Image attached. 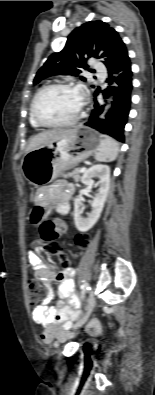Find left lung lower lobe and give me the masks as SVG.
Returning a JSON list of instances; mask_svg holds the SVG:
<instances>
[{
  "instance_id": "0a47b994",
  "label": "left lung lower lobe",
  "mask_w": 155,
  "mask_h": 395,
  "mask_svg": "<svg viewBox=\"0 0 155 395\" xmlns=\"http://www.w3.org/2000/svg\"><path fill=\"white\" fill-rule=\"evenodd\" d=\"M112 71L118 75L111 77ZM109 76L107 79L109 84L111 80H115L118 87L113 90V87H108L105 93L114 96L111 102L112 107L106 114V119H98V115L102 113L104 106L100 105L96 99L98 91L94 93V110L92 111L89 120L85 125L95 128L101 133L110 135L118 141L124 142V127L127 123L130 107H131V92H132V71L131 61L129 56H125L117 65L109 69ZM112 91V92H110ZM107 98V95H104Z\"/></svg>"
}]
</instances>
